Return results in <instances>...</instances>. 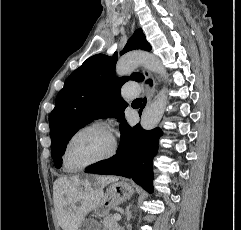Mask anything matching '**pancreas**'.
<instances>
[{"label":"pancreas","instance_id":"cf45deb5","mask_svg":"<svg viewBox=\"0 0 241 230\" xmlns=\"http://www.w3.org/2000/svg\"><path fill=\"white\" fill-rule=\"evenodd\" d=\"M103 230H119V225L117 220L114 219V216L106 217L103 222Z\"/></svg>","mask_w":241,"mask_h":230}]
</instances>
